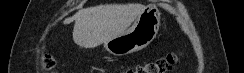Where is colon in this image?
<instances>
[{
	"label": "colon",
	"mask_w": 244,
	"mask_h": 73,
	"mask_svg": "<svg viewBox=\"0 0 244 73\" xmlns=\"http://www.w3.org/2000/svg\"><path fill=\"white\" fill-rule=\"evenodd\" d=\"M176 61L177 55L171 53L155 60L131 67L125 70L124 73H166ZM42 65L45 70L50 71L54 68L55 61L51 56L45 55L42 58Z\"/></svg>",
	"instance_id": "1"
}]
</instances>
